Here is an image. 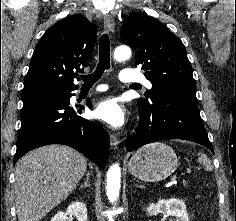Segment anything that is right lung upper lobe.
I'll return each mask as SVG.
<instances>
[{
	"instance_id": "obj_1",
	"label": "right lung upper lobe",
	"mask_w": 236,
	"mask_h": 221,
	"mask_svg": "<svg viewBox=\"0 0 236 221\" xmlns=\"http://www.w3.org/2000/svg\"><path fill=\"white\" fill-rule=\"evenodd\" d=\"M96 26L82 15L61 19L50 27L35 47L21 94L48 89L77 88L93 52Z\"/></svg>"
}]
</instances>
